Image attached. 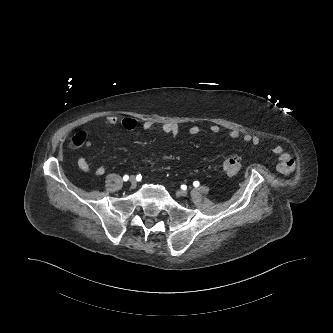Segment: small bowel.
Returning <instances> with one entry per match:
<instances>
[{
  "mask_svg": "<svg viewBox=\"0 0 333 333\" xmlns=\"http://www.w3.org/2000/svg\"><path fill=\"white\" fill-rule=\"evenodd\" d=\"M117 123H118V118L114 115L108 116L103 121L104 126H112ZM137 125H138L137 120L132 117H126L121 120V126L125 130H129V131L134 130L137 127ZM152 126H153V123L151 121H144L141 124L142 129L145 131L150 130L152 128ZM162 130L166 134L177 135L180 132V127L176 123L169 122V123H165L162 126ZM210 131L213 134H218L220 132V127L218 125H212L210 127ZM199 132H200V126L197 124H194L189 128V133L191 135H197V134H199ZM229 137L231 139H238V138L242 137L243 141H245L247 143H251L254 146H257L260 144V138L258 136L251 135V134H244L241 136V133L238 130H231L229 133ZM271 151L278 158L279 164L281 167V171L283 173H290L295 170L296 164H295L293 157L281 145H274L271 148ZM78 167L80 168L81 171L86 172V173L90 172V170H91V167L85 157H80L78 159ZM105 172H106V169L102 165L97 166L95 169L96 176H103L105 174Z\"/></svg>",
  "mask_w": 333,
  "mask_h": 333,
  "instance_id": "1",
  "label": "small bowel"
}]
</instances>
